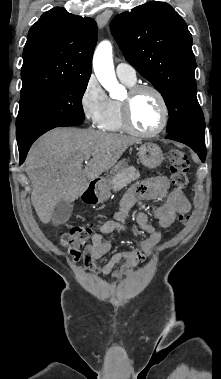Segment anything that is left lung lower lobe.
Segmentation results:
<instances>
[{
    "mask_svg": "<svg viewBox=\"0 0 221 379\" xmlns=\"http://www.w3.org/2000/svg\"><path fill=\"white\" fill-rule=\"evenodd\" d=\"M165 138L172 139V140L188 145L196 153H198V156L200 157L202 162L205 161V158H206L205 140H201L187 134H168Z\"/></svg>",
    "mask_w": 221,
    "mask_h": 379,
    "instance_id": "obj_1",
    "label": "left lung lower lobe"
}]
</instances>
